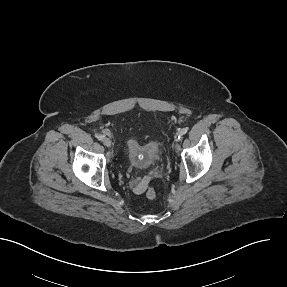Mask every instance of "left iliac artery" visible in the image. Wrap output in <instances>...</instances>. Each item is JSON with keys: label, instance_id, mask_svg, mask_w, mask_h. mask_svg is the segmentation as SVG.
Listing matches in <instances>:
<instances>
[{"label": "left iliac artery", "instance_id": "1", "mask_svg": "<svg viewBox=\"0 0 287 287\" xmlns=\"http://www.w3.org/2000/svg\"><path fill=\"white\" fill-rule=\"evenodd\" d=\"M187 133V128H183L178 132V138L180 139L183 135Z\"/></svg>", "mask_w": 287, "mask_h": 287}]
</instances>
